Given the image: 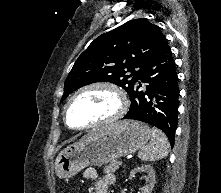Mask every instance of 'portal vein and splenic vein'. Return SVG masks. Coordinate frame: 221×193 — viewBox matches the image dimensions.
Masks as SVG:
<instances>
[{"instance_id": "obj_1", "label": "portal vein and splenic vein", "mask_w": 221, "mask_h": 193, "mask_svg": "<svg viewBox=\"0 0 221 193\" xmlns=\"http://www.w3.org/2000/svg\"><path fill=\"white\" fill-rule=\"evenodd\" d=\"M119 165H122V161H119Z\"/></svg>"}]
</instances>
